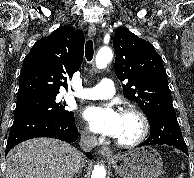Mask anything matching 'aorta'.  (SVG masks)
Segmentation results:
<instances>
[{"instance_id": "1", "label": "aorta", "mask_w": 194, "mask_h": 178, "mask_svg": "<svg viewBox=\"0 0 194 178\" xmlns=\"http://www.w3.org/2000/svg\"><path fill=\"white\" fill-rule=\"evenodd\" d=\"M113 52L109 47H102L96 55L95 63L98 69L105 68L107 64L112 60ZM91 178H106V170L103 165H97L94 167Z\"/></svg>"}]
</instances>
